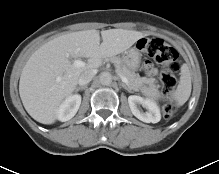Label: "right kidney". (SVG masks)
Returning a JSON list of instances; mask_svg holds the SVG:
<instances>
[{"label":"right kidney","instance_id":"ca27d5eb","mask_svg":"<svg viewBox=\"0 0 219 174\" xmlns=\"http://www.w3.org/2000/svg\"><path fill=\"white\" fill-rule=\"evenodd\" d=\"M81 104V96L78 94L67 97L57 110V119L66 122L72 119L77 113Z\"/></svg>","mask_w":219,"mask_h":174}]
</instances>
